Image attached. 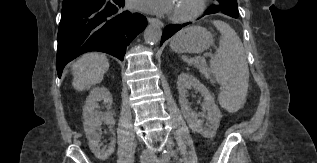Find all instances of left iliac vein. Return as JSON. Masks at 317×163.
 I'll list each match as a JSON object with an SVG mask.
<instances>
[{
  "instance_id": "4c4485c4",
  "label": "left iliac vein",
  "mask_w": 317,
  "mask_h": 163,
  "mask_svg": "<svg viewBox=\"0 0 317 163\" xmlns=\"http://www.w3.org/2000/svg\"><path fill=\"white\" fill-rule=\"evenodd\" d=\"M170 151V150H169ZM168 156H169V159H170V156H172V153L171 152H168ZM156 160V159H155ZM153 163H157V160L154 161Z\"/></svg>"
}]
</instances>
